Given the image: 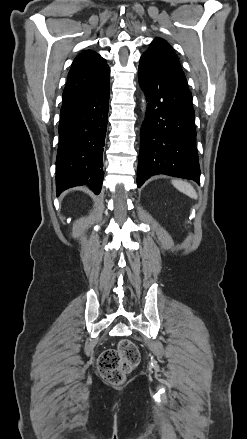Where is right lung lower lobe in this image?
I'll return each instance as SVG.
<instances>
[{
  "mask_svg": "<svg viewBox=\"0 0 247 439\" xmlns=\"http://www.w3.org/2000/svg\"><path fill=\"white\" fill-rule=\"evenodd\" d=\"M110 83L63 99L56 160V191L87 184L98 194L103 181V147Z\"/></svg>",
  "mask_w": 247,
  "mask_h": 439,
  "instance_id": "98d812e1",
  "label": "right lung lower lobe"
}]
</instances>
